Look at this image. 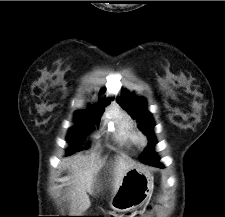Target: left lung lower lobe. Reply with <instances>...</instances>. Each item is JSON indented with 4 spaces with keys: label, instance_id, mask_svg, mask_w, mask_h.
Wrapping results in <instances>:
<instances>
[{
    "label": "left lung lower lobe",
    "instance_id": "1",
    "mask_svg": "<svg viewBox=\"0 0 225 217\" xmlns=\"http://www.w3.org/2000/svg\"><path fill=\"white\" fill-rule=\"evenodd\" d=\"M156 144V140H151L148 144V146L145 149V157L141 158L140 161L145 163V164H149V165H153V166H158V167H163L160 163H159V157L155 154V152L153 151L154 146Z\"/></svg>",
    "mask_w": 225,
    "mask_h": 217
}]
</instances>
